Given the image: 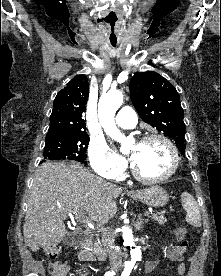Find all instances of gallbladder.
Listing matches in <instances>:
<instances>
[{
    "mask_svg": "<svg viewBox=\"0 0 221 276\" xmlns=\"http://www.w3.org/2000/svg\"><path fill=\"white\" fill-rule=\"evenodd\" d=\"M63 243H64V244H67V245L74 244V243H75L74 233L67 234V235L63 238Z\"/></svg>",
    "mask_w": 221,
    "mask_h": 276,
    "instance_id": "obj_1",
    "label": "gallbladder"
}]
</instances>
